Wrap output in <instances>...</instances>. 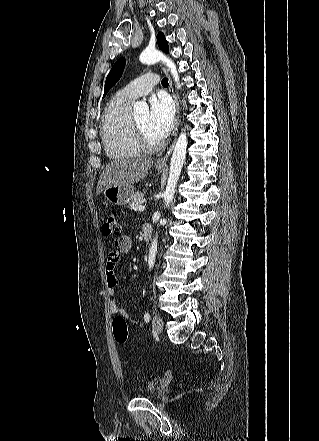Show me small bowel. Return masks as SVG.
I'll use <instances>...</instances> for the list:
<instances>
[{
  "label": "small bowel",
  "instance_id": "c3829d8e",
  "mask_svg": "<svg viewBox=\"0 0 319 441\" xmlns=\"http://www.w3.org/2000/svg\"><path fill=\"white\" fill-rule=\"evenodd\" d=\"M115 249L109 252L106 265V283L107 294L111 298L110 311L113 315H123L131 324L137 325L139 320L136 316L129 314L121 304V301L116 298V286L118 279L115 275V268L120 260L121 253L128 252L132 247V240L127 235H122L115 240Z\"/></svg>",
  "mask_w": 319,
  "mask_h": 441
}]
</instances>
